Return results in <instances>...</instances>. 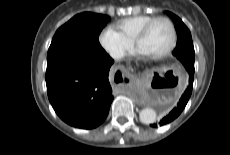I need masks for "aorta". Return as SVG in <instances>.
<instances>
[{
    "label": "aorta",
    "instance_id": "1",
    "mask_svg": "<svg viewBox=\"0 0 230 155\" xmlns=\"http://www.w3.org/2000/svg\"><path fill=\"white\" fill-rule=\"evenodd\" d=\"M139 118L144 124H152L156 122L157 114L152 108H144L140 111Z\"/></svg>",
    "mask_w": 230,
    "mask_h": 155
}]
</instances>
